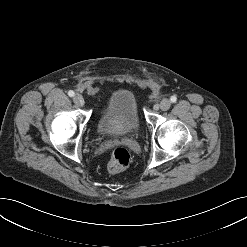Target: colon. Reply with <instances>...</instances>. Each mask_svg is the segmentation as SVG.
Here are the masks:
<instances>
[{
    "instance_id": "obj_1",
    "label": "colon",
    "mask_w": 247,
    "mask_h": 247,
    "mask_svg": "<svg viewBox=\"0 0 247 247\" xmlns=\"http://www.w3.org/2000/svg\"><path fill=\"white\" fill-rule=\"evenodd\" d=\"M130 160L129 152L123 147H117L111 152L107 164L108 171L111 173L121 172L129 166Z\"/></svg>"
}]
</instances>
